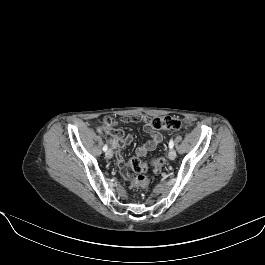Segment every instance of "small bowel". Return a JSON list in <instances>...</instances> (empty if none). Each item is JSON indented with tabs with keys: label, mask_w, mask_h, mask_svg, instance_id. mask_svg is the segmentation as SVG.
<instances>
[{
	"label": "small bowel",
	"mask_w": 265,
	"mask_h": 265,
	"mask_svg": "<svg viewBox=\"0 0 265 265\" xmlns=\"http://www.w3.org/2000/svg\"><path fill=\"white\" fill-rule=\"evenodd\" d=\"M144 120L142 116H132L124 118V122H139ZM116 124L113 121L111 126H100L98 129L100 132L106 131L112 136V146L116 150V162L119 167L121 176L124 179L128 178V171L124 164L123 150L132 142V136L125 133L121 129L115 128ZM144 131L149 135V139L138 146L136 154L138 156H145L150 151H153L156 146L163 141V134L160 131L155 130L149 123H146L143 127Z\"/></svg>",
	"instance_id": "small-bowel-1"
}]
</instances>
